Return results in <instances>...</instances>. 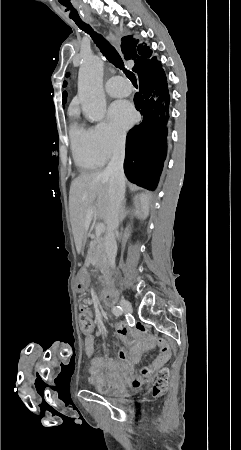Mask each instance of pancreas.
I'll list each match as a JSON object with an SVG mask.
<instances>
[{"instance_id": "pancreas-1", "label": "pancreas", "mask_w": 241, "mask_h": 450, "mask_svg": "<svg viewBox=\"0 0 241 450\" xmlns=\"http://www.w3.org/2000/svg\"><path fill=\"white\" fill-rule=\"evenodd\" d=\"M88 254L90 262H86V264H93V266L99 268L101 274H103V284H106V286H108L110 278L104 254L103 240H100V238H96L94 242H91Z\"/></svg>"}]
</instances>
